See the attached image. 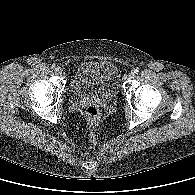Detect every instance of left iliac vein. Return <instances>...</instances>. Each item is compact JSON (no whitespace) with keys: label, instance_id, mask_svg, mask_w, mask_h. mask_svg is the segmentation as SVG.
<instances>
[{"label":"left iliac vein","instance_id":"obj_1","mask_svg":"<svg viewBox=\"0 0 195 195\" xmlns=\"http://www.w3.org/2000/svg\"><path fill=\"white\" fill-rule=\"evenodd\" d=\"M128 76L129 78H132L134 76V72L131 71Z\"/></svg>","mask_w":195,"mask_h":195}]
</instances>
